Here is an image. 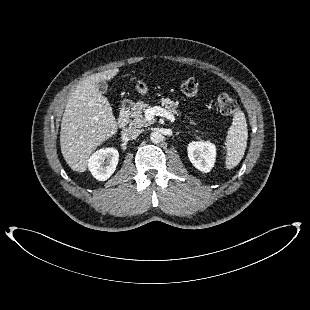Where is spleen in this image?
<instances>
[{
	"mask_svg": "<svg viewBox=\"0 0 310 310\" xmlns=\"http://www.w3.org/2000/svg\"><path fill=\"white\" fill-rule=\"evenodd\" d=\"M248 138V129L244 112L235 109L233 122L226 136V168L236 167L244 156Z\"/></svg>",
	"mask_w": 310,
	"mask_h": 310,
	"instance_id": "3e777b00",
	"label": "spleen"
}]
</instances>
